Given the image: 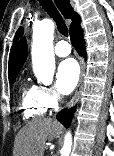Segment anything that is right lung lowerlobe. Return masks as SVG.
<instances>
[{
    "label": "right lung lower lobe",
    "mask_w": 114,
    "mask_h": 156,
    "mask_svg": "<svg viewBox=\"0 0 114 156\" xmlns=\"http://www.w3.org/2000/svg\"><path fill=\"white\" fill-rule=\"evenodd\" d=\"M70 37L71 42L73 46L75 47L76 51L79 53V55L84 56L86 55V48H85V42L83 40V32L80 27V24L75 26L70 31ZM76 106L71 108L70 110H63L57 115L58 121H60L65 127H68L71 123V120L73 118L74 112H75Z\"/></svg>",
    "instance_id": "1"
}]
</instances>
